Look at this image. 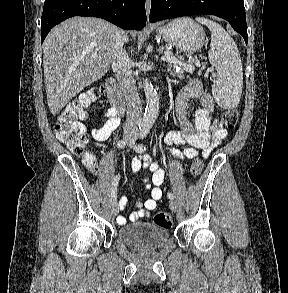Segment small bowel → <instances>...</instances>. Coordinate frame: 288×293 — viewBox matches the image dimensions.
I'll return each instance as SVG.
<instances>
[{
  "label": "small bowel",
  "mask_w": 288,
  "mask_h": 293,
  "mask_svg": "<svg viewBox=\"0 0 288 293\" xmlns=\"http://www.w3.org/2000/svg\"><path fill=\"white\" fill-rule=\"evenodd\" d=\"M192 99H198L201 103V108L196 111L193 122L189 121L186 116L187 102ZM175 106L180 128L178 131L169 132L165 137V143L170 147L173 145H186V147L183 151L171 148V155L179 159H194L201 151L204 157L209 156L227 136V130L222 122L214 117L212 96L203 90L199 80L191 79L179 92ZM118 125L117 110L112 107L107 113V120L103 126L93 128L91 135L96 141H106ZM131 169L135 174L142 169L147 170L143 182L145 188L150 192V198L137 200V210L129 215V220L136 222L149 216L150 212L156 209L158 201L163 196L161 186L165 180V172L156 163L151 162L146 155L134 158ZM127 203L126 196L120 198L119 204L122 209ZM117 222L125 224L126 218L119 216Z\"/></svg>",
  "instance_id": "obj_1"
}]
</instances>
